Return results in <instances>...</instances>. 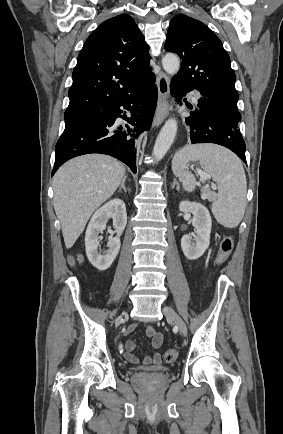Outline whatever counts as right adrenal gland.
I'll return each instance as SVG.
<instances>
[{"label":"right adrenal gland","instance_id":"obj_1","mask_svg":"<svg viewBox=\"0 0 283 434\" xmlns=\"http://www.w3.org/2000/svg\"><path fill=\"white\" fill-rule=\"evenodd\" d=\"M127 179V176L125 175L122 182H121V186L119 187V192L123 189L125 192H127V189L125 187V181Z\"/></svg>","mask_w":283,"mask_h":434}]
</instances>
